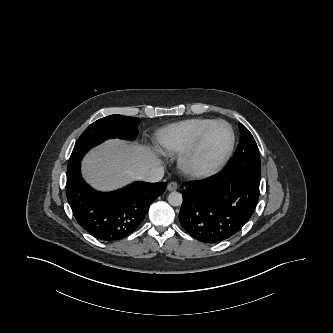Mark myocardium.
<instances>
[{"instance_id":"f54148a6","label":"myocardium","mask_w":333,"mask_h":333,"mask_svg":"<svg viewBox=\"0 0 333 333\" xmlns=\"http://www.w3.org/2000/svg\"><path fill=\"white\" fill-rule=\"evenodd\" d=\"M216 124H223L228 128L230 132V142L228 148L223 154V156L215 164L209 167H201L197 164L196 157L199 151L201 150L209 131ZM234 146H235V133L232 126L225 120L222 119L214 120L200 132L194 143L187 150L183 152V154L179 159V164L181 168L190 175L203 178L209 177L218 173L225 166V164L227 163V161L229 160V158L233 153Z\"/></svg>"}]
</instances>
